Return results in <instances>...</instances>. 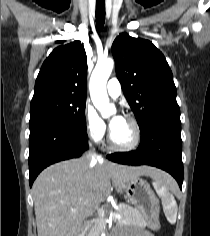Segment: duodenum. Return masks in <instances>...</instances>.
Instances as JSON below:
<instances>
[{
	"label": "duodenum",
	"mask_w": 210,
	"mask_h": 236,
	"mask_svg": "<svg viewBox=\"0 0 210 236\" xmlns=\"http://www.w3.org/2000/svg\"><path fill=\"white\" fill-rule=\"evenodd\" d=\"M78 236H84L83 231L78 234Z\"/></svg>",
	"instance_id": "1"
}]
</instances>
